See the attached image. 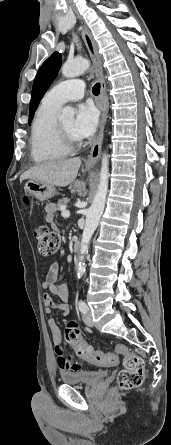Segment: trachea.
I'll return each instance as SVG.
<instances>
[{
  "label": "trachea",
  "mask_w": 171,
  "mask_h": 445,
  "mask_svg": "<svg viewBox=\"0 0 171 445\" xmlns=\"http://www.w3.org/2000/svg\"><path fill=\"white\" fill-rule=\"evenodd\" d=\"M92 92L94 95H99L100 94V83H96L93 88H92Z\"/></svg>",
  "instance_id": "1"
}]
</instances>
